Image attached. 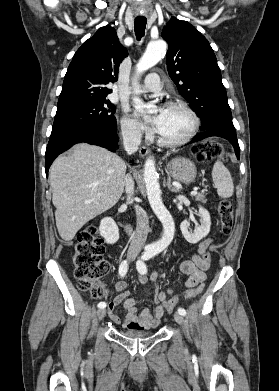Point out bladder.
<instances>
[{
    "label": "bladder",
    "mask_w": 279,
    "mask_h": 391,
    "mask_svg": "<svg viewBox=\"0 0 279 391\" xmlns=\"http://www.w3.org/2000/svg\"><path fill=\"white\" fill-rule=\"evenodd\" d=\"M120 334L123 337L129 338V339H143L150 335L149 332H138L134 330H123L120 331Z\"/></svg>",
    "instance_id": "31cf9c89"
}]
</instances>
